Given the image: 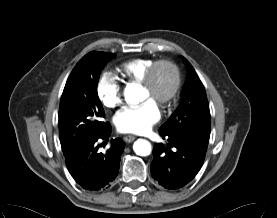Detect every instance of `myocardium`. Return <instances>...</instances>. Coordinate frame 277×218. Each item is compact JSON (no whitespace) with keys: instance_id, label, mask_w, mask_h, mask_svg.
Masks as SVG:
<instances>
[{"instance_id":"obj_1","label":"myocardium","mask_w":277,"mask_h":218,"mask_svg":"<svg viewBox=\"0 0 277 218\" xmlns=\"http://www.w3.org/2000/svg\"><path fill=\"white\" fill-rule=\"evenodd\" d=\"M161 68L169 72L167 82L164 85H162L158 77ZM143 83L159 103H167L176 96L180 89L181 70L174 60L170 58H161L152 64Z\"/></svg>"}]
</instances>
